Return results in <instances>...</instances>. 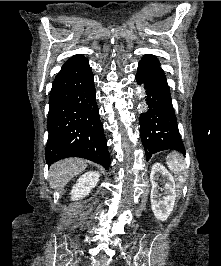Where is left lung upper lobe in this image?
I'll return each mask as SVG.
<instances>
[{"label":"left lung upper lobe","mask_w":221,"mask_h":266,"mask_svg":"<svg viewBox=\"0 0 221 266\" xmlns=\"http://www.w3.org/2000/svg\"><path fill=\"white\" fill-rule=\"evenodd\" d=\"M141 61L146 62V63H149V64L160 65L158 59L154 55H151V54L145 55L142 58Z\"/></svg>","instance_id":"left-lung-upper-lobe-1"}]
</instances>
